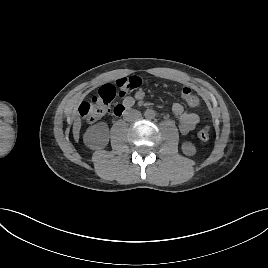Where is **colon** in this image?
<instances>
[{
	"label": "colon",
	"mask_w": 268,
	"mask_h": 268,
	"mask_svg": "<svg viewBox=\"0 0 268 268\" xmlns=\"http://www.w3.org/2000/svg\"><path fill=\"white\" fill-rule=\"evenodd\" d=\"M150 82V79H144L139 76H130L121 78L114 84H104L99 88L98 92L94 96L81 104L80 114L86 121L95 122L110 111L111 104L116 97H122L139 88L143 83ZM181 96L190 107H200V99L193 94L190 88L184 87L181 90ZM198 138L201 142H207L209 140L210 129L208 126H204L199 130Z\"/></svg>",
	"instance_id": "1"
}]
</instances>
